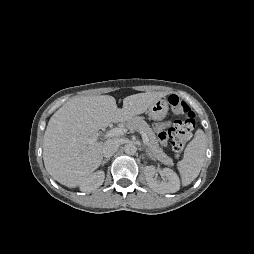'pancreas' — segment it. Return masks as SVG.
I'll use <instances>...</instances> for the list:
<instances>
[{"label": "pancreas", "instance_id": "1", "mask_svg": "<svg viewBox=\"0 0 254 254\" xmlns=\"http://www.w3.org/2000/svg\"><path fill=\"white\" fill-rule=\"evenodd\" d=\"M124 126L130 130L142 131L147 135V150L153 159H157L166 165H172L173 159L168 157L160 148L154 131L141 117H132L124 123Z\"/></svg>", "mask_w": 254, "mask_h": 254}]
</instances>
